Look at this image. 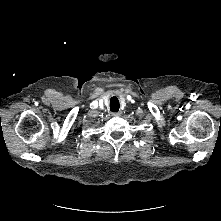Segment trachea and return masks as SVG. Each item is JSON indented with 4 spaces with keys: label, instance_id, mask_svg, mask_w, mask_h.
<instances>
[{
    "label": "trachea",
    "instance_id": "1",
    "mask_svg": "<svg viewBox=\"0 0 221 221\" xmlns=\"http://www.w3.org/2000/svg\"><path fill=\"white\" fill-rule=\"evenodd\" d=\"M120 108V103L117 97H112L110 99V110L112 112H117Z\"/></svg>",
    "mask_w": 221,
    "mask_h": 221
}]
</instances>
